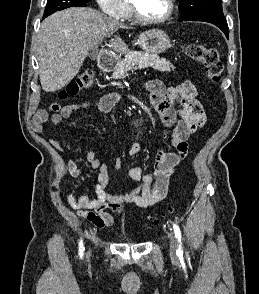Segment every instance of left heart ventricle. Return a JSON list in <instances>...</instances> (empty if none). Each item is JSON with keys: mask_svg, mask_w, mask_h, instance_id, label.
Segmentation results:
<instances>
[{"mask_svg": "<svg viewBox=\"0 0 259 294\" xmlns=\"http://www.w3.org/2000/svg\"><path fill=\"white\" fill-rule=\"evenodd\" d=\"M138 10L147 18H159L167 11V0H132Z\"/></svg>", "mask_w": 259, "mask_h": 294, "instance_id": "1", "label": "left heart ventricle"}]
</instances>
